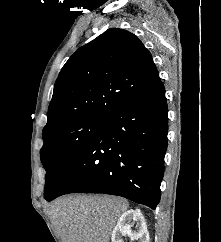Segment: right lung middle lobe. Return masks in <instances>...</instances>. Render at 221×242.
Here are the masks:
<instances>
[{
    "label": "right lung middle lobe",
    "instance_id": "1",
    "mask_svg": "<svg viewBox=\"0 0 221 242\" xmlns=\"http://www.w3.org/2000/svg\"><path fill=\"white\" fill-rule=\"evenodd\" d=\"M102 123L103 118H82L43 133L44 145L40 156L46 170V200L67 165Z\"/></svg>",
    "mask_w": 221,
    "mask_h": 242
}]
</instances>
